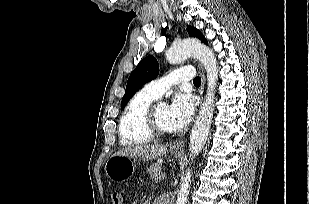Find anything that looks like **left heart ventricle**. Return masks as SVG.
Instances as JSON below:
<instances>
[{"mask_svg": "<svg viewBox=\"0 0 309 204\" xmlns=\"http://www.w3.org/2000/svg\"><path fill=\"white\" fill-rule=\"evenodd\" d=\"M169 107L166 104H159L157 107V121L165 130H172L169 122Z\"/></svg>", "mask_w": 309, "mask_h": 204, "instance_id": "b2bd125f", "label": "left heart ventricle"}]
</instances>
